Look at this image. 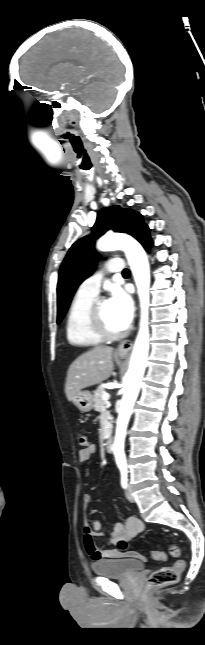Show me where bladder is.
Segmentation results:
<instances>
[{
  "mask_svg": "<svg viewBox=\"0 0 205 645\" xmlns=\"http://www.w3.org/2000/svg\"><path fill=\"white\" fill-rule=\"evenodd\" d=\"M145 567L142 560L134 558H118L97 561L92 564V571L101 576L127 578Z\"/></svg>",
  "mask_w": 205,
  "mask_h": 645,
  "instance_id": "bladder-1",
  "label": "bladder"
}]
</instances>
